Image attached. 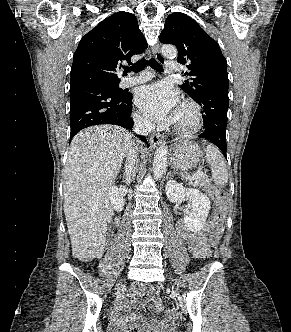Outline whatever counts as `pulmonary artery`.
Here are the masks:
<instances>
[{
  "label": "pulmonary artery",
  "instance_id": "pulmonary-artery-1",
  "mask_svg": "<svg viewBox=\"0 0 291 332\" xmlns=\"http://www.w3.org/2000/svg\"><path fill=\"white\" fill-rule=\"evenodd\" d=\"M180 70V66L175 61H170L166 63L165 72L169 74L176 73ZM153 75L149 72H144L138 76H130L122 80L123 86H132L135 84L143 83L145 81L150 80Z\"/></svg>",
  "mask_w": 291,
  "mask_h": 332
}]
</instances>
